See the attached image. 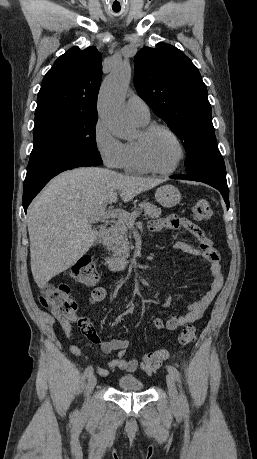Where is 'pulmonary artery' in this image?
I'll use <instances>...</instances> for the list:
<instances>
[{
	"mask_svg": "<svg viewBox=\"0 0 257 459\" xmlns=\"http://www.w3.org/2000/svg\"><path fill=\"white\" fill-rule=\"evenodd\" d=\"M129 114L135 119L149 121L150 111L146 102L138 95H131L126 103Z\"/></svg>",
	"mask_w": 257,
	"mask_h": 459,
	"instance_id": "e3ab8cb5",
	"label": "pulmonary artery"
}]
</instances>
